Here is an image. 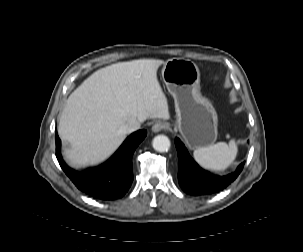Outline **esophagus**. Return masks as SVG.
<instances>
[{
	"instance_id": "esophagus-1",
	"label": "esophagus",
	"mask_w": 303,
	"mask_h": 252,
	"mask_svg": "<svg viewBox=\"0 0 303 252\" xmlns=\"http://www.w3.org/2000/svg\"><path fill=\"white\" fill-rule=\"evenodd\" d=\"M168 128V124L167 123H163V122H156L153 126H152V131L154 133H158L162 130H165Z\"/></svg>"
}]
</instances>
